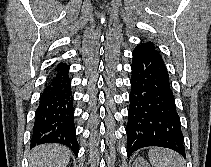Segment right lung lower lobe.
I'll return each instance as SVG.
<instances>
[{
    "label": "right lung lower lobe",
    "mask_w": 211,
    "mask_h": 167,
    "mask_svg": "<svg viewBox=\"0 0 211 167\" xmlns=\"http://www.w3.org/2000/svg\"><path fill=\"white\" fill-rule=\"evenodd\" d=\"M68 70L66 63L57 64L43 89L35 112L31 147L44 143H60L77 155L79 148Z\"/></svg>",
    "instance_id": "1"
}]
</instances>
